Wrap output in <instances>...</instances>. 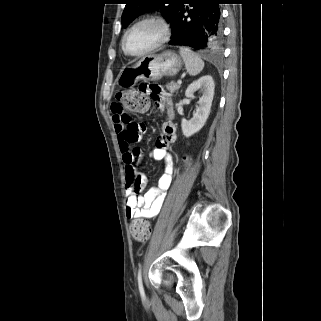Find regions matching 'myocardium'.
<instances>
[{"instance_id":"1","label":"myocardium","mask_w":321,"mask_h":321,"mask_svg":"<svg viewBox=\"0 0 321 321\" xmlns=\"http://www.w3.org/2000/svg\"><path fill=\"white\" fill-rule=\"evenodd\" d=\"M144 23H154L158 26L159 30H160V36L158 38V40L151 45L150 47H148L147 49L139 52V53H131L128 51L127 46H126V40L127 37L129 35V33L136 28L137 26L144 24ZM171 37V28L169 23L162 17L158 16V15H147L144 16L142 18H140L139 20H137L136 22H134L124 33L123 38H122V49L124 51V53L130 57H141L144 56L146 54H149L155 50H157L158 48H160L161 46H163L165 43H167L169 41Z\"/></svg>"}]
</instances>
